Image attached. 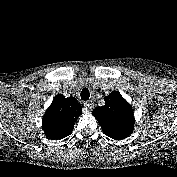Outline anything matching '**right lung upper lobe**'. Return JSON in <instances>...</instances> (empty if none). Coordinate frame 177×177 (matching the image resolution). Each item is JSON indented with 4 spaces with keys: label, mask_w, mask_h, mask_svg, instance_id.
Listing matches in <instances>:
<instances>
[{
    "label": "right lung upper lobe",
    "mask_w": 177,
    "mask_h": 177,
    "mask_svg": "<svg viewBox=\"0 0 177 177\" xmlns=\"http://www.w3.org/2000/svg\"><path fill=\"white\" fill-rule=\"evenodd\" d=\"M81 110V104L74 97L56 95L42 119V128L46 136L54 140L70 135L74 122L82 114Z\"/></svg>",
    "instance_id": "right-lung-upper-lobe-1"
}]
</instances>
